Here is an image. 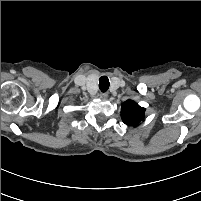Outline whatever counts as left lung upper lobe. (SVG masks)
I'll return each mask as SVG.
<instances>
[{
	"instance_id": "left-lung-upper-lobe-1",
	"label": "left lung upper lobe",
	"mask_w": 201,
	"mask_h": 201,
	"mask_svg": "<svg viewBox=\"0 0 201 201\" xmlns=\"http://www.w3.org/2000/svg\"><path fill=\"white\" fill-rule=\"evenodd\" d=\"M121 117L123 122L129 126H137L145 117V108L139 106L132 100H127L122 104Z\"/></svg>"
}]
</instances>
